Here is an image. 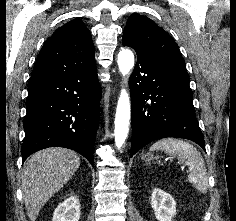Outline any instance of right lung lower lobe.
<instances>
[{"label":"right lung lower lobe","instance_id":"right-lung-lower-lobe-1","mask_svg":"<svg viewBox=\"0 0 236 221\" xmlns=\"http://www.w3.org/2000/svg\"><path fill=\"white\" fill-rule=\"evenodd\" d=\"M23 161L48 147L77 151L94 166L93 148L100 117L97 69L28 85Z\"/></svg>","mask_w":236,"mask_h":221}]
</instances>
